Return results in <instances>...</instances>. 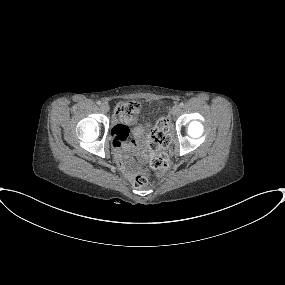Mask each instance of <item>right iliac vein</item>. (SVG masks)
Instances as JSON below:
<instances>
[{
  "label": "right iliac vein",
  "instance_id": "1",
  "mask_svg": "<svg viewBox=\"0 0 285 285\" xmlns=\"http://www.w3.org/2000/svg\"><path fill=\"white\" fill-rule=\"evenodd\" d=\"M101 109L105 112L109 111L110 107L107 103L101 104Z\"/></svg>",
  "mask_w": 285,
  "mask_h": 285
}]
</instances>
